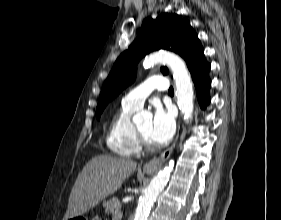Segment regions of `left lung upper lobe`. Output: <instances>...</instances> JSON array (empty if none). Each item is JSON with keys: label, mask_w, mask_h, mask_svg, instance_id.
I'll use <instances>...</instances> for the list:
<instances>
[{"label": "left lung upper lobe", "mask_w": 281, "mask_h": 220, "mask_svg": "<svg viewBox=\"0 0 281 220\" xmlns=\"http://www.w3.org/2000/svg\"><path fill=\"white\" fill-rule=\"evenodd\" d=\"M159 49L179 54L187 64L204 52L190 22L181 19V16L165 13L155 20L145 19L137 38L128 50L118 57L104 82L96 110L97 119H100L107 103L134 81L138 61L145 54ZM161 71L168 74L165 67H162Z\"/></svg>", "instance_id": "1"}]
</instances>
